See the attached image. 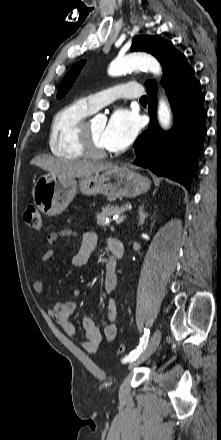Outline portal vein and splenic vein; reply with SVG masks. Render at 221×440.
<instances>
[{
	"instance_id": "18ae733b",
	"label": "portal vein and splenic vein",
	"mask_w": 221,
	"mask_h": 440,
	"mask_svg": "<svg viewBox=\"0 0 221 440\" xmlns=\"http://www.w3.org/2000/svg\"><path fill=\"white\" fill-rule=\"evenodd\" d=\"M126 219V215H122L118 218H116V224L122 223Z\"/></svg>"
}]
</instances>
